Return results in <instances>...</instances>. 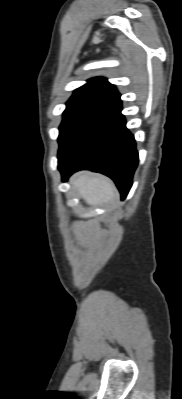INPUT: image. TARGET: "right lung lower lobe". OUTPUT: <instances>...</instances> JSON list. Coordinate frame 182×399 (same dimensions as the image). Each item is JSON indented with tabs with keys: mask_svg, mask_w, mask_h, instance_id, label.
<instances>
[{
	"mask_svg": "<svg viewBox=\"0 0 182 399\" xmlns=\"http://www.w3.org/2000/svg\"><path fill=\"white\" fill-rule=\"evenodd\" d=\"M121 110L120 99L107 104L62 140L58 169L63 181L78 170L88 169L112 178L121 198L127 196L138 164V152Z\"/></svg>",
	"mask_w": 182,
	"mask_h": 399,
	"instance_id": "98d812e1",
	"label": "right lung lower lobe"
}]
</instances>
